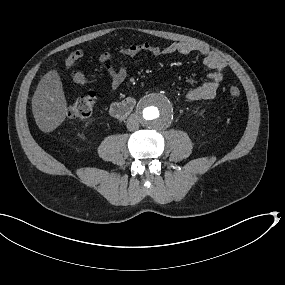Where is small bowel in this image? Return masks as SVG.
<instances>
[{
  "instance_id": "c3829d8e",
  "label": "small bowel",
  "mask_w": 285,
  "mask_h": 285,
  "mask_svg": "<svg viewBox=\"0 0 285 285\" xmlns=\"http://www.w3.org/2000/svg\"><path fill=\"white\" fill-rule=\"evenodd\" d=\"M141 52H146L153 56L178 53L185 56L199 54L203 57V62L210 70V73L204 83L187 92L186 98L189 102L214 98L227 71V64L221 56L203 46L190 42H173L163 48L150 43L132 44L119 50L121 55L128 57H134ZM113 57L114 55L111 51H105L101 54L100 61L106 71L110 87L117 89L125 81L127 70L125 67L114 66L112 64Z\"/></svg>"
}]
</instances>
